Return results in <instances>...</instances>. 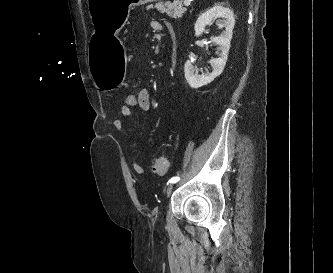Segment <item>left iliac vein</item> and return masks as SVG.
<instances>
[{
  "label": "left iliac vein",
  "instance_id": "obj_1",
  "mask_svg": "<svg viewBox=\"0 0 333 273\" xmlns=\"http://www.w3.org/2000/svg\"><path fill=\"white\" fill-rule=\"evenodd\" d=\"M173 188H174V185H173V184L169 185V186L166 188V195H167V197L170 196V194H171L172 191H173Z\"/></svg>",
  "mask_w": 333,
  "mask_h": 273
}]
</instances>
